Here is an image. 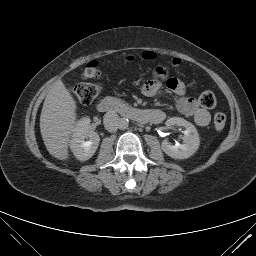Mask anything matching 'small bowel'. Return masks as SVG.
Listing matches in <instances>:
<instances>
[{
	"instance_id": "1",
	"label": "small bowel",
	"mask_w": 256,
	"mask_h": 256,
	"mask_svg": "<svg viewBox=\"0 0 256 256\" xmlns=\"http://www.w3.org/2000/svg\"><path fill=\"white\" fill-rule=\"evenodd\" d=\"M163 82L170 91L179 96L176 101V108L181 114L193 117L198 126L203 127L210 123V113L202 108L193 97L185 96L184 84L176 78H169L165 69L162 67H158L154 77L144 83L142 86V93L148 97L156 95L162 88ZM157 112L163 117V114L160 111Z\"/></svg>"
}]
</instances>
